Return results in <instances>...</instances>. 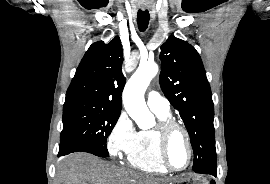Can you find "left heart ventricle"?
Returning a JSON list of instances; mask_svg holds the SVG:
<instances>
[{"label": "left heart ventricle", "mask_w": 270, "mask_h": 184, "mask_svg": "<svg viewBox=\"0 0 270 184\" xmlns=\"http://www.w3.org/2000/svg\"><path fill=\"white\" fill-rule=\"evenodd\" d=\"M168 159L172 166L182 168L188 161V149L184 135L175 131L169 141Z\"/></svg>", "instance_id": "b2bd125f"}]
</instances>
